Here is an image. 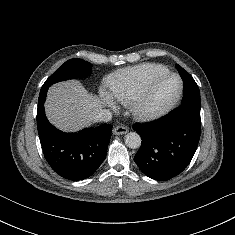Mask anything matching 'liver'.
I'll use <instances>...</instances> for the list:
<instances>
[{
  "mask_svg": "<svg viewBox=\"0 0 235 235\" xmlns=\"http://www.w3.org/2000/svg\"><path fill=\"white\" fill-rule=\"evenodd\" d=\"M103 102L90 94L79 81L54 84L48 90L45 111L48 120L64 132L89 126L102 110Z\"/></svg>",
  "mask_w": 235,
  "mask_h": 235,
  "instance_id": "1",
  "label": "liver"
}]
</instances>
